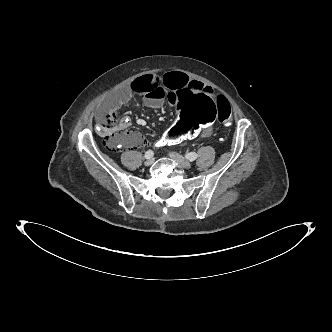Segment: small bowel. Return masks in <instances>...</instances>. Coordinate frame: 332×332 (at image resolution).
I'll list each match as a JSON object with an SVG mask.
<instances>
[{
    "mask_svg": "<svg viewBox=\"0 0 332 332\" xmlns=\"http://www.w3.org/2000/svg\"><path fill=\"white\" fill-rule=\"evenodd\" d=\"M133 93L143 97L145 104L152 109H160L165 100H169L174 104H182L189 96L202 95L211 99L214 95L210 87L200 81L190 79L182 72L169 71L162 75H143L115 92L98 106L96 120L102 132H105L103 125L105 114L112 109L118 108L122 103L130 99ZM130 125L131 121L129 118H123L118 124V131L126 148L136 147L143 142L140 133L128 129ZM212 134L213 128L210 123L204 133L193 138H209Z\"/></svg>",
    "mask_w": 332,
    "mask_h": 332,
    "instance_id": "small-bowel-1",
    "label": "small bowel"
}]
</instances>
